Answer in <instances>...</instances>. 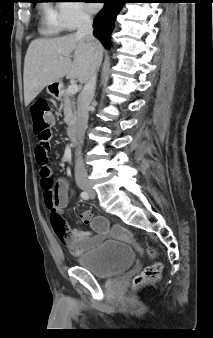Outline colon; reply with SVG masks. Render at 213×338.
<instances>
[{"instance_id":"5ec220e1","label":"colon","mask_w":213,"mask_h":338,"mask_svg":"<svg viewBox=\"0 0 213 338\" xmlns=\"http://www.w3.org/2000/svg\"><path fill=\"white\" fill-rule=\"evenodd\" d=\"M31 110L34 116L33 129L39 141L43 142L50 137L52 116L45 100L39 99L33 102ZM39 175L45 207L50 213L51 223L54 228H60L63 220L57 212V201L54 194V179L52 178L47 158H38ZM97 222L95 228L101 227ZM151 262L145 267L144 271L136 277V284H147L158 280L162 273V263L157 260V252L154 249L148 251Z\"/></svg>"}]
</instances>
